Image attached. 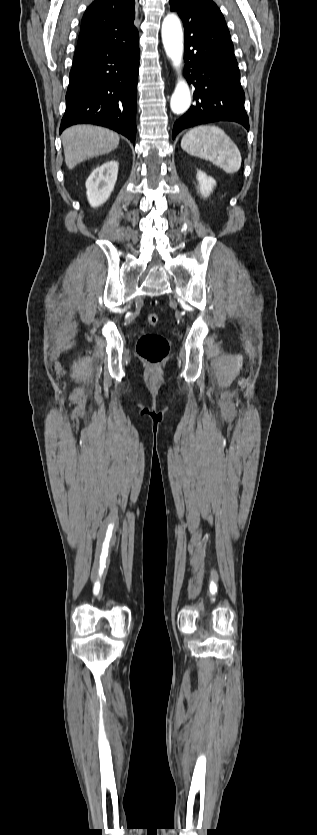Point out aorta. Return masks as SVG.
Masks as SVG:
<instances>
[{
  "instance_id": "aorta-1",
  "label": "aorta",
  "mask_w": 317,
  "mask_h": 835,
  "mask_svg": "<svg viewBox=\"0 0 317 835\" xmlns=\"http://www.w3.org/2000/svg\"><path fill=\"white\" fill-rule=\"evenodd\" d=\"M161 33L165 53L171 59L178 76L170 107L174 114L181 115L191 105V93L187 82L181 76L183 32L179 18L174 14H168L163 20Z\"/></svg>"
}]
</instances>
